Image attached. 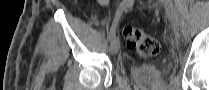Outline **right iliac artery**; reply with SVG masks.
<instances>
[{"instance_id": "right-iliac-artery-1", "label": "right iliac artery", "mask_w": 209, "mask_h": 90, "mask_svg": "<svg viewBox=\"0 0 209 90\" xmlns=\"http://www.w3.org/2000/svg\"><path fill=\"white\" fill-rule=\"evenodd\" d=\"M132 4V0H124L121 5L119 6L117 12H116V16L115 19L112 23V26L110 28V32H109V40L112 41L113 38L115 37V33H116V28H117V23L118 20L120 18V16L122 15V13L124 11H126V9Z\"/></svg>"}]
</instances>
